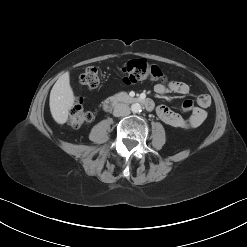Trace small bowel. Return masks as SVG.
<instances>
[{"mask_svg": "<svg viewBox=\"0 0 247 247\" xmlns=\"http://www.w3.org/2000/svg\"><path fill=\"white\" fill-rule=\"evenodd\" d=\"M154 92L158 95L169 92L187 95L190 92V86L181 81H171L167 84L158 83L154 86ZM196 102L198 106L192 110L188 118L182 117L164 105L156 107V114L165 124L172 127L182 129L196 128L205 121L207 117L205 109L211 105V98L207 94H202L197 97Z\"/></svg>", "mask_w": 247, "mask_h": 247, "instance_id": "obj_1", "label": "small bowel"}]
</instances>
